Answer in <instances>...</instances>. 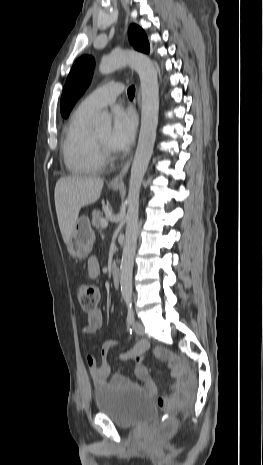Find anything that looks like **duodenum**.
<instances>
[{"instance_id":"duodenum-1","label":"duodenum","mask_w":263,"mask_h":465,"mask_svg":"<svg viewBox=\"0 0 263 465\" xmlns=\"http://www.w3.org/2000/svg\"><path fill=\"white\" fill-rule=\"evenodd\" d=\"M112 278H113L114 286L118 288L121 282V273L117 267L113 268L112 270Z\"/></svg>"}]
</instances>
